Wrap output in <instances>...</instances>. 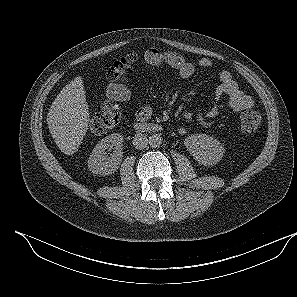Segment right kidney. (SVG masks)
Listing matches in <instances>:
<instances>
[{"label": "right kidney", "instance_id": "ca27d5eb", "mask_svg": "<svg viewBox=\"0 0 297 297\" xmlns=\"http://www.w3.org/2000/svg\"><path fill=\"white\" fill-rule=\"evenodd\" d=\"M123 136L113 133L97 143L89 160L88 168L92 173L109 175L114 173L120 166L123 157ZM113 148L110 156L106 155V149Z\"/></svg>", "mask_w": 297, "mask_h": 297}]
</instances>
